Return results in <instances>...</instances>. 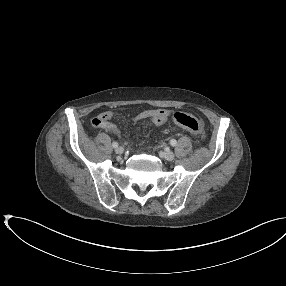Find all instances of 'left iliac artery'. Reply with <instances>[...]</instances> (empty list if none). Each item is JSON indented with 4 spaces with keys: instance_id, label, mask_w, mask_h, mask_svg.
<instances>
[{
    "instance_id": "obj_1",
    "label": "left iliac artery",
    "mask_w": 286,
    "mask_h": 286,
    "mask_svg": "<svg viewBox=\"0 0 286 286\" xmlns=\"http://www.w3.org/2000/svg\"><path fill=\"white\" fill-rule=\"evenodd\" d=\"M170 144H171L172 146H175V145L177 144V141H176L175 139H172V140L170 141Z\"/></svg>"
}]
</instances>
